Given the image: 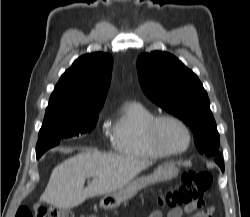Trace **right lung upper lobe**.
Instances as JSON below:
<instances>
[{
	"mask_svg": "<svg viewBox=\"0 0 250 217\" xmlns=\"http://www.w3.org/2000/svg\"><path fill=\"white\" fill-rule=\"evenodd\" d=\"M113 59L107 53L79 57L61 76L45 117L101 109L110 84Z\"/></svg>",
	"mask_w": 250,
	"mask_h": 217,
	"instance_id": "cb5924a9",
	"label": "right lung upper lobe"
}]
</instances>
